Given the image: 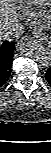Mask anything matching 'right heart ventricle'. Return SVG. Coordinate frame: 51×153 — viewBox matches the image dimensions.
Segmentation results:
<instances>
[{
  "label": "right heart ventricle",
  "instance_id": "e07e8e85",
  "mask_svg": "<svg viewBox=\"0 0 51 153\" xmlns=\"http://www.w3.org/2000/svg\"><path fill=\"white\" fill-rule=\"evenodd\" d=\"M32 3L37 7H43L48 3V0H32Z\"/></svg>",
  "mask_w": 51,
  "mask_h": 153
}]
</instances>
